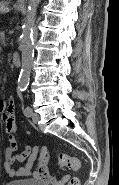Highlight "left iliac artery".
<instances>
[{"label":"left iliac artery","instance_id":"obj_1","mask_svg":"<svg viewBox=\"0 0 119 185\" xmlns=\"http://www.w3.org/2000/svg\"><path fill=\"white\" fill-rule=\"evenodd\" d=\"M24 115L30 117L32 115V109L30 107H26L24 109Z\"/></svg>","mask_w":119,"mask_h":185}]
</instances>
